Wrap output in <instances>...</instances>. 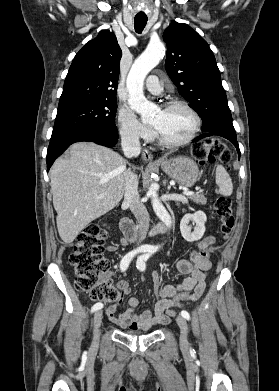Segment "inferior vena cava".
<instances>
[{"instance_id":"obj_1","label":"inferior vena cava","mask_w":279,"mask_h":391,"mask_svg":"<svg viewBox=\"0 0 279 391\" xmlns=\"http://www.w3.org/2000/svg\"><path fill=\"white\" fill-rule=\"evenodd\" d=\"M121 145L127 158L136 157L140 154L141 147L139 136L133 132H122ZM125 194L124 203L130 207L138 223L139 243L146 238L149 229V214L145 205L141 202L138 193V178L131 169L125 170Z\"/></svg>"}]
</instances>
